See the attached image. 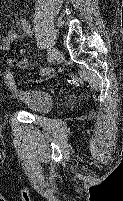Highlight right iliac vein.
<instances>
[{"label": "right iliac vein", "instance_id": "obj_1", "mask_svg": "<svg viewBox=\"0 0 123 201\" xmlns=\"http://www.w3.org/2000/svg\"><path fill=\"white\" fill-rule=\"evenodd\" d=\"M58 50L55 47H50L48 49V62L52 63L56 59Z\"/></svg>", "mask_w": 123, "mask_h": 201}]
</instances>
